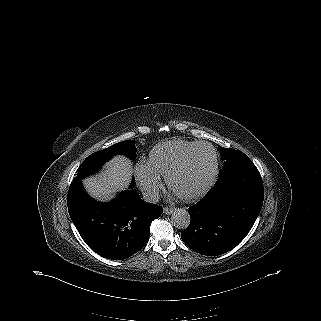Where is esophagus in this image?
Instances as JSON below:
<instances>
[{
	"label": "esophagus",
	"instance_id": "1",
	"mask_svg": "<svg viewBox=\"0 0 321 321\" xmlns=\"http://www.w3.org/2000/svg\"><path fill=\"white\" fill-rule=\"evenodd\" d=\"M176 209L174 207H164L163 212L167 215L172 214Z\"/></svg>",
	"mask_w": 321,
	"mask_h": 321
}]
</instances>
